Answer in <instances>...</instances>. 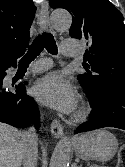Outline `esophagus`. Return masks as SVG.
<instances>
[{"mask_svg": "<svg viewBox=\"0 0 125 167\" xmlns=\"http://www.w3.org/2000/svg\"><path fill=\"white\" fill-rule=\"evenodd\" d=\"M38 24L42 31L53 32V27L50 24L49 18V5L47 1H44L41 6V11L38 17ZM51 133L56 138H63L64 137V130L62 124L59 120L54 119L51 123Z\"/></svg>", "mask_w": 125, "mask_h": 167, "instance_id": "obj_1", "label": "esophagus"}]
</instances>
